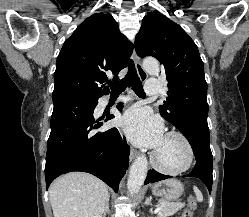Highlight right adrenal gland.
I'll return each instance as SVG.
<instances>
[{
	"instance_id": "2a0ac1e0",
	"label": "right adrenal gland",
	"mask_w": 249,
	"mask_h": 217,
	"mask_svg": "<svg viewBox=\"0 0 249 217\" xmlns=\"http://www.w3.org/2000/svg\"><path fill=\"white\" fill-rule=\"evenodd\" d=\"M109 213H110V210H109V198H108L102 217H106V214H109Z\"/></svg>"
}]
</instances>
